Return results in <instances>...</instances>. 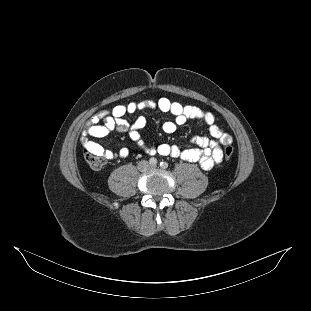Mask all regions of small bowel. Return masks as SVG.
I'll return each instance as SVG.
<instances>
[{
	"label": "small bowel",
	"instance_id": "1",
	"mask_svg": "<svg viewBox=\"0 0 311 311\" xmlns=\"http://www.w3.org/2000/svg\"><path fill=\"white\" fill-rule=\"evenodd\" d=\"M149 108H158L162 112L174 116V120L163 123L162 129L165 133H173L177 126L185 124L189 119H195L208 125L212 139L196 136L192 139V143L197 147L186 150L167 143L160 144L156 148L148 147L140 135V130L146 125L145 117H137L131 125L124 117L138 110ZM112 131L127 132L130 139L150 155L159 154L180 158L187 162H197L205 170H209L223 161V151L220 145L232 143L231 135L224 132L216 124L215 117L211 112L192 105H182L165 97L157 101L145 99L130 102L126 105L121 104L115 106L110 113L101 111L93 115L87 121L80 140L86 150L101 154L107 159L124 158L128 155L127 149L122 148L118 152H112L105 150L100 144L90 140V138H103Z\"/></svg>",
	"mask_w": 311,
	"mask_h": 311
}]
</instances>
